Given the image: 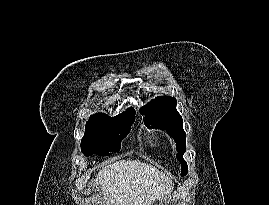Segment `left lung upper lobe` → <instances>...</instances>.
Wrapping results in <instances>:
<instances>
[{
    "instance_id": "obj_1",
    "label": "left lung upper lobe",
    "mask_w": 269,
    "mask_h": 205,
    "mask_svg": "<svg viewBox=\"0 0 269 205\" xmlns=\"http://www.w3.org/2000/svg\"><path fill=\"white\" fill-rule=\"evenodd\" d=\"M177 101L170 96L154 99L139 111L147 118L146 125H152L156 129L166 130L176 142L177 159L182 162L181 176L188 172L187 163L183 159L186 151V134L183 130V120L176 110Z\"/></svg>"
}]
</instances>
